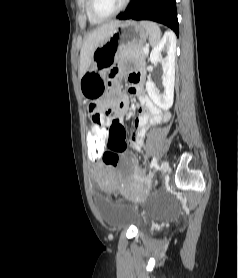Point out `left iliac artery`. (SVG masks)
Here are the masks:
<instances>
[{"label":"left iliac artery","instance_id":"left-iliac-artery-1","mask_svg":"<svg viewBox=\"0 0 238 278\" xmlns=\"http://www.w3.org/2000/svg\"><path fill=\"white\" fill-rule=\"evenodd\" d=\"M156 165H157V159H156V157H153L151 164H150V168H153Z\"/></svg>","mask_w":238,"mask_h":278}]
</instances>
